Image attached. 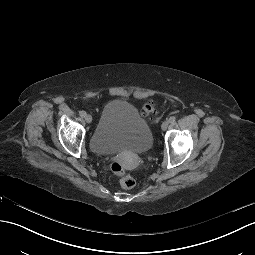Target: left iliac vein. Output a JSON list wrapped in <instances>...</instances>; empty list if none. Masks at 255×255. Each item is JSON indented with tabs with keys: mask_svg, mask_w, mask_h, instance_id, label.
<instances>
[{
	"mask_svg": "<svg viewBox=\"0 0 255 255\" xmlns=\"http://www.w3.org/2000/svg\"><path fill=\"white\" fill-rule=\"evenodd\" d=\"M169 126V121L168 120H165L162 125H161V128L163 131H165Z\"/></svg>",
	"mask_w": 255,
	"mask_h": 255,
	"instance_id": "left-iliac-vein-1",
	"label": "left iliac vein"
}]
</instances>
